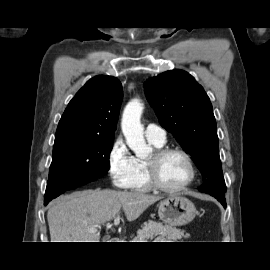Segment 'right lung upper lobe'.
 <instances>
[{
	"label": "right lung upper lobe",
	"mask_w": 270,
	"mask_h": 270,
	"mask_svg": "<svg viewBox=\"0 0 270 270\" xmlns=\"http://www.w3.org/2000/svg\"><path fill=\"white\" fill-rule=\"evenodd\" d=\"M122 98V85L117 78H91L68 104L56 135L114 138Z\"/></svg>",
	"instance_id": "cb5924a9"
}]
</instances>
